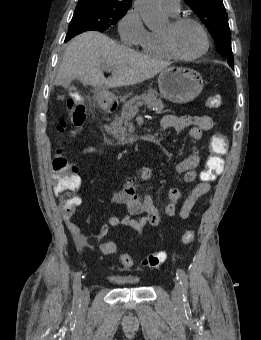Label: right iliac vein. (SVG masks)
Masks as SVG:
<instances>
[{"label": "right iliac vein", "instance_id": "obj_1", "mask_svg": "<svg viewBox=\"0 0 261 340\" xmlns=\"http://www.w3.org/2000/svg\"><path fill=\"white\" fill-rule=\"evenodd\" d=\"M89 300V291L84 289L82 292V301L87 302Z\"/></svg>", "mask_w": 261, "mask_h": 340}]
</instances>
